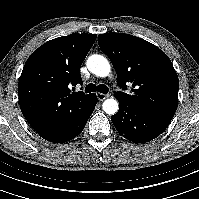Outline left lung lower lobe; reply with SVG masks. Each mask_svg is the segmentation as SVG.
<instances>
[{"label":"left lung lower lobe","instance_id":"left-lung-lower-lobe-1","mask_svg":"<svg viewBox=\"0 0 199 199\" xmlns=\"http://www.w3.org/2000/svg\"><path fill=\"white\" fill-rule=\"evenodd\" d=\"M119 111L111 116L117 131L135 143L149 142L168 127L170 121L145 113L128 102L118 99Z\"/></svg>","mask_w":199,"mask_h":199}]
</instances>
